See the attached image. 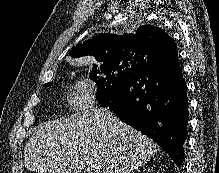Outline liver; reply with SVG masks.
I'll list each match as a JSON object with an SVG mask.
<instances>
[{
    "label": "liver",
    "instance_id": "obj_1",
    "mask_svg": "<svg viewBox=\"0 0 219 173\" xmlns=\"http://www.w3.org/2000/svg\"><path fill=\"white\" fill-rule=\"evenodd\" d=\"M158 150L156 143L122 122L108 108L95 107L67 119L41 124L24 150L35 173H133Z\"/></svg>",
    "mask_w": 219,
    "mask_h": 173
}]
</instances>
